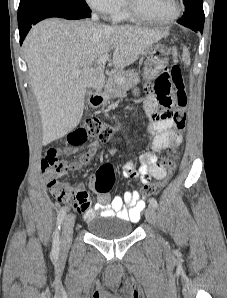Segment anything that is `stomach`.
Returning a JSON list of instances; mask_svg holds the SVG:
<instances>
[{"instance_id":"1","label":"stomach","mask_w":227,"mask_h":298,"mask_svg":"<svg viewBox=\"0 0 227 298\" xmlns=\"http://www.w3.org/2000/svg\"><path fill=\"white\" fill-rule=\"evenodd\" d=\"M146 61L143 68V77L152 80L159 75L169 62V51L162 44H153L146 49ZM137 93V90L134 91Z\"/></svg>"}]
</instances>
